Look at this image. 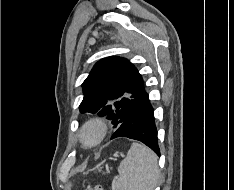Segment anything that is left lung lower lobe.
<instances>
[{
    "mask_svg": "<svg viewBox=\"0 0 234 190\" xmlns=\"http://www.w3.org/2000/svg\"><path fill=\"white\" fill-rule=\"evenodd\" d=\"M154 120L153 108L148 94L145 92L114 132L111 139L127 137L141 141L160 156Z\"/></svg>",
    "mask_w": 234,
    "mask_h": 190,
    "instance_id": "0a47b994",
    "label": "left lung lower lobe"
}]
</instances>
